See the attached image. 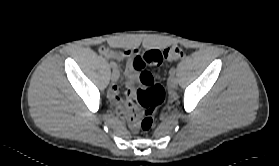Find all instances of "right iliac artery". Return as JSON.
<instances>
[{"label": "right iliac artery", "mask_w": 279, "mask_h": 166, "mask_svg": "<svg viewBox=\"0 0 279 166\" xmlns=\"http://www.w3.org/2000/svg\"><path fill=\"white\" fill-rule=\"evenodd\" d=\"M110 66L113 68V69H116L117 65L115 62L111 61L110 62Z\"/></svg>", "instance_id": "right-iliac-artery-1"}]
</instances>
